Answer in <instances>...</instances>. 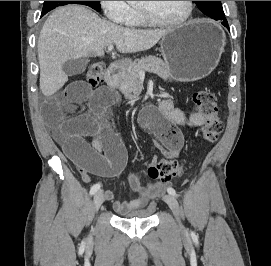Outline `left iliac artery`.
<instances>
[{
	"label": "left iliac artery",
	"mask_w": 271,
	"mask_h": 266,
	"mask_svg": "<svg viewBox=\"0 0 271 266\" xmlns=\"http://www.w3.org/2000/svg\"><path fill=\"white\" fill-rule=\"evenodd\" d=\"M167 192H168L170 195H172V196H174V197H177V193H176L175 189H173L172 187H169V188L167 189Z\"/></svg>",
	"instance_id": "left-iliac-artery-1"
}]
</instances>
